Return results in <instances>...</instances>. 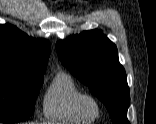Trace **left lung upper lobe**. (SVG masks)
<instances>
[{
  "label": "left lung upper lobe",
  "mask_w": 156,
  "mask_h": 124,
  "mask_svg": "<svg viewBox=\"0 0 156 124\" xmlns=\"http://www.w3.org/2000/svg\"><path fill=\"white\" fill-rule=\"evenodd\" d=\"M56 51L62 64L105 104L113 124H130V91L115 44L91 30L58 41Z\"/></svg>",
  "instance_id": "obj_1"
}]
</instances>
